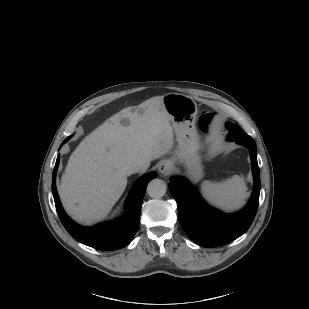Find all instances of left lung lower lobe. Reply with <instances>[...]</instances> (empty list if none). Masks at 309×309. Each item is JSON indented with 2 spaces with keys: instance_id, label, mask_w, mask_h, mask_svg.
Wrapping results in <instances>:
<instances>
[{
  "instance_id": "obj_1",
  "label": "left lung lower lobe",
  "mask_w": 309,
  "mask_h": 309,
  "mask_svg": "<svg viewBox=\"0 0 309 309\" xmlns=\"http://www.w3.org/2000/svg\"><path fill=\"white\" fill-rule=\"evenodd\" d=\"M230 141L250 150L254 189L247 206L231 215L208 207L191 185L182 178L172 177L169 189L178 205L180 224L190 239L203 247L228 244L243 235L252 224L257 212L260 194V173L257 148L252 137H231Z\"/></svg>"
}]
</instances>
